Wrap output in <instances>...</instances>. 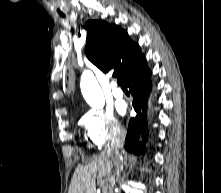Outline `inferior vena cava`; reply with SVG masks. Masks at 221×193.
<instances>
[{
  "instance_id": "602c4592",
  "label": "inferior vena cava",
  "mask_w": 221,
  "mask_h": 193,
  "mask_svg": "<svg viewBox=\"0 0 221 193\" xmlns=\"http://www.w3.org/2000/svg\"><path fill=\"white\" fill-rule=\"evenodd\" d=\"M125 141V132L123 130H118L112 136L111 143L108 145V152L113 155L114 159V172L110 177V185L108 188V193H114L115 182L119 179L121 171L123 169V157L120 150L123 148Z\"/></svg>"
}]
</instances>
